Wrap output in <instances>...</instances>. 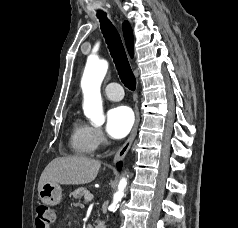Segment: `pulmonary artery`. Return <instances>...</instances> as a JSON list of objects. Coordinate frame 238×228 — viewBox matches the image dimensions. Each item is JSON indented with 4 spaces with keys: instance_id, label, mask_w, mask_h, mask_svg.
<instances>
[{
    "instance_id": "pulmonary-artery-1",
    "label": "pulmonary artery",
    "mask_w": 238,
    "mask_h": 228,
    "mask_svg": "<svg viewBox=\"0 0 238 228\" xmlns=\"http://www.w3.org/2000/svg\"><path fill=\"white\" fill-rule=\"evenodd\" d=\"M105 95L111 100H121L123 98V90L120 84L110 83L104 88Z\"/></svg>"
}]
</instances>
